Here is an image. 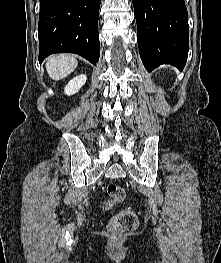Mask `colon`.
Returning <instances> with one entry per match:
<instances>
[{
    "label": "colon",
    "instance_id": "obj_1",
    "mask_svg": "<svg viewBox=\"0 0 221 263\" xmlns=\"http://www.w3.org/2000/svg\"><path fill=\"white\" fill-rule=\"evenodd\" d=\"M109 200L105 203L106 207L121 202L125 198V190L118 184L111 183L107 186ZM138 226L137 214L130 208L122 209L110 221V228L116 232H129Z\"/></svg>",
    "mask_w": 221,
    "mask_h": 263
}]
</instances>
